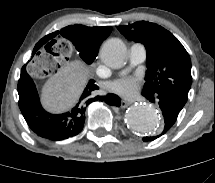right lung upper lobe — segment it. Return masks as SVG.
Here are the masks:
<instances>
[{"label": "right lung upper lobe", "instance_id": "1", "mask_svg": "<svg viewBox=\"0 0 215 183\" xmlns=\"http://www.w3.org/2000/svg\"><path fill=\"white\" fill-rule=\"evenodd\" d=\"M82 26L83 32H84V43L85 46L87 47V49L94 53V54H98V50L99 47L101 45V43L103 42L104 39H106L109 34L112 31V27L107 26V27H86V26ZM74 29V26H68L66 28H63L60 32L56 31L52 34H49L47 36H45L43 39H41L35 46V48L33 49V53H36L39 48L41 46H43L44 44H46V47L52 45L56 40H54V37L58 34H60V36H63L65 38H67L68 33L70 32V30Z\"/></svg>", "mask_w": 215, "mask_h": 183}]
</instances>
